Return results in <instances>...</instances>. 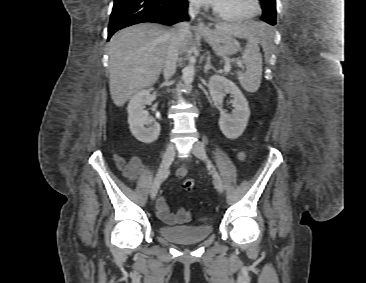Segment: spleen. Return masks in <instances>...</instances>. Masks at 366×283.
I'll use <instances>...</instances> for the list:
<instances>
[{"label":"spleen","instance_id":"obj_1","mask_svg":"<svg viewBox=\"0 0 366 283\" xmlns=\"http://www.w3.org/2000/svg\"><path fill=\"white\" fill-rule=\"evenodd\" d=\"M258 43L259 40L255 37L248 39L242 55L246 70L237 72L241 86L250 93L258 90L262 78V55Z\"/></svg>","mask_w":366,"mask_h":283}]
</instances>
